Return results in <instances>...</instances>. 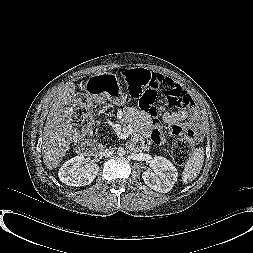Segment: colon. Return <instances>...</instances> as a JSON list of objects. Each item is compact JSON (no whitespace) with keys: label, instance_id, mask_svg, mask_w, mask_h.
Instances as JSON below:
<instances>
[{"label":"colon","instance_id":"5ec220e1","mask_svg":"<svg viewBox=\"0 0 253 253\" xmlns=\"http://www.w3.org/2000/svg\"><path fill=\"white\" fill-rule=\"evenodd\" d=\"M129 95L138 99L140 108L150 115L157 113V95L164 92L171 106H186L191 103L187 93H182L162 76L141 68H128L122 71ZM92 104L85 95H79L73 108V122L81 131L91 122ZM195 136L192 130L177 137L172 142L171 153L178 165H184L191 155Z\"/></svg>","mask_w":253,"mask_h":253}]
</instances>
